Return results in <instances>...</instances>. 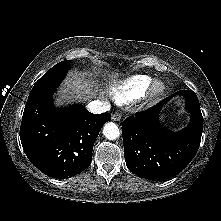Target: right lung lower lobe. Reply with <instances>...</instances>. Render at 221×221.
Masks as SVG:
<instances>
[{
	"mask_svg": "<svg viewBox=\"0 0 221 221\" xmlns=\"http://www.w3.org/2000/svg\"><path fill=\"white\" fill-rule=\"evenodd\" d=\"M55 89L28 98L20 127L21 144L30 162L43 173L66 178L88 168L102 125L111 114H92L80 105L55 108Z\"/></svg>",
	"mask_w": 221,
	"mask_h": 221,
	"instance_id": "obj_1",
	"label": "right lung lower lobe"
}]
</instances>
